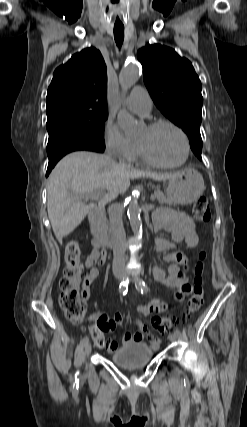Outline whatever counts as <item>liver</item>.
Wrapping results in <instances>:
<instances>
[{"mask_svg":"<svg viewBox=\"0 0 247 427\" xmlns=\"http://www.w3.org/2000/svg\"><path fill=\"white\" fill-rule=\"evenodd\" d=\"M174 174L144 172L115 162L110 156L88 151L72 152L62 158L48 178L47 211L56 239L62 244L95 207L84 194L106 190L104 200L127 191L131 179L152 178L164 181Z\"/></svg>","mask_w":247,"mask_h":427,"instance_id":"6515ba94","label":"liver"}]
</instances>
